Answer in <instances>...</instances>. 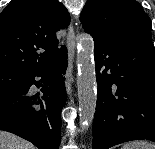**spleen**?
<instances>
[{"label":"spleen","instance_id":"1","mask_svg":"<svg viewBox=\"0 0 155 149\" xmlns=\"http://www.w3.org/2000/svg\"><path fill=\"white\" fill-rule=\"evenodd\" d=\"M121 149H155V145L147 141H133L124 144Z\"/></svg>","mask_w":155,"mask_h":149}]
</instances>
